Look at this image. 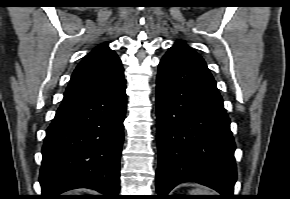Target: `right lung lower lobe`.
Wrapping results in <instances>:
<instances>
[{
	"label": "right lung lower lobe",
	"mask_w": 290,
	"mask_h": 199,
	"mask_svg": "<svg viewBox=\"0 0 290 199\" xmlns=\"http://www.w3.org/2000/svg\"><path fill=\"white\" fill-rule=\"evenodd\" d=\"M125 81L102 93L62 102L46 131L39 182L41 199H65L59 194L90 188L117 199Z\"/></svg>",
	"instance_id": "1"
}]
</instances>
